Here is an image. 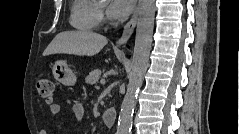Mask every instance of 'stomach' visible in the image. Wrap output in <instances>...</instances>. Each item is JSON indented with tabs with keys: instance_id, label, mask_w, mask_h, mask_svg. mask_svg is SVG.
Masks as SVG:
<instances>
[{
	"instance_id": "1",
	"label": "stomach",
	"mask_w": 239,
	"mask_h": 134,
	"mask_svg": "<svg viewBox=\"0 0 239 134\" xmlns=\"http://www.w3.org/2000/svg\"><path fill=\"white\" fill-rule=\"evenodd\" d=\"M53 76L65 85L75 84L77 77L63 60L56 61L52 66Z\"/></svg>"
}]
</instances>
